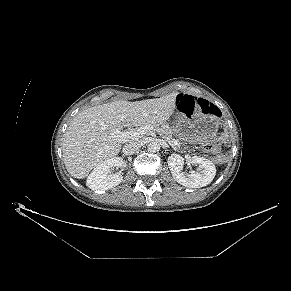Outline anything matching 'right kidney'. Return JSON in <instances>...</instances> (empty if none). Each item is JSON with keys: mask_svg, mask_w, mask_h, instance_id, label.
Here are the masks:
<instances>
[{"mask_svg": "<svg viewBox=\"0 0 291 291\" xmlns=\"http://www.w3.org/2000/svg\"><path fill=\"white\" fill-rule=\"evenodd\" d=\"M125 162L121 157H113L93 169L87 178V186L96 191L109 190L123 181L122 175L118 172L111 174L114 168H123Z\"/></svg>", "mask_w": 291, "mask_h": 291, "instance_id": "ca27d5eb", "label": "right kidney"}]
</instances>
